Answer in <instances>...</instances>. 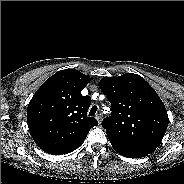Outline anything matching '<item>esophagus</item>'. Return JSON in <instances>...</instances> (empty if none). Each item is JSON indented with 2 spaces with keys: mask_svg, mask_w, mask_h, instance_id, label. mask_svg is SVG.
<instances>
[{
  "mask_svg": "<svg viewBox=\"0 0 184 184\" xmlns=\"http://www.w3.org/2000/svg\"><path fill=\"white\" fill-rule=\"evenodd\" d=\"M95 118L97 119L98 123L101 124V121H102V116H101V114H97V115L95 116Z\"/></svg>",
  "mask_w": 184,
  "mask_h": 184,
  "instance_id": "1",
  "label": "esophagus"
}]
</instances>
